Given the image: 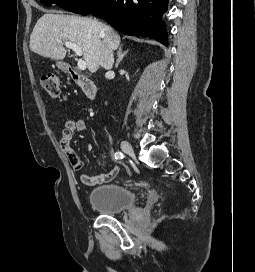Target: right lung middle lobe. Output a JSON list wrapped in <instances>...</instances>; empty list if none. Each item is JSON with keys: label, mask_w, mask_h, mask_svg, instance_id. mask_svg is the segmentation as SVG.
<instances>
[{"label": "right lung middle lobe", "mask_w": 255, "mask_h": 272, "mask_svg": "<svg viewBox=\"0 0 255 272\" xmlns=\"http://www.w3.org/2000/svg\"><path fill=\"white\" fill-rule=\"evenodd\" d=\"M100 1L101 0H41L46 6H51L52 3H55L65 10L81 15L89 14Z\"/></svg>", "instance_id": "obj_1"}]
</instances>
